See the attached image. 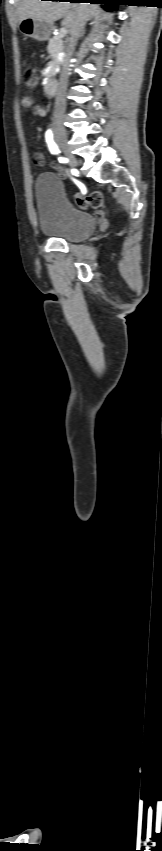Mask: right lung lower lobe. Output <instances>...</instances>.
<instances>
[{
	"label": "right lung lower lobe",
	"instance_id": "obj_1",
	"mask_svg": "<svg viewBox=\"0 0 162 851\" xmlns=\"http://www.w3.org/2000/svg\"><path fill=\"white\" fill-rule=\"evenodd\" d=\"M53 1H62V0H53ZM69 2H88L91 4H106L108 9L116 10L117 5L122 2V0H69Z\"/></svg>",
	"mask_w": 162,
	"mask_h": 851
}]
</instances>
